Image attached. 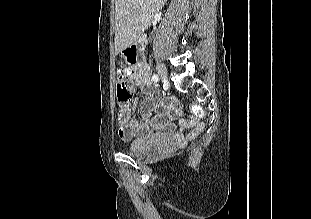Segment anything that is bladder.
I'll use <instances>...</instances> for the list:
<instances>
[{"label": "bladder", "mask_w": 311, "mask_h": 219, "mask_svg": "<svg viewBox=\"0 0 311 219\" xmlns=\"http://www.w3.org/2000/svg\"><path fill=\"white\" fill-rule=\"evenodd\" d=\"M152 149L153 146L150 142L133 141L128 148V153L131 156H143L150 153Z\"/></svg>", "instance_id": "bladder-1"}]
</instances>
